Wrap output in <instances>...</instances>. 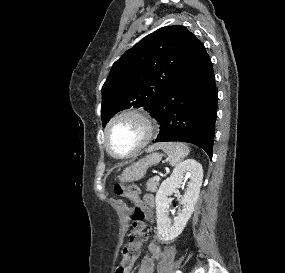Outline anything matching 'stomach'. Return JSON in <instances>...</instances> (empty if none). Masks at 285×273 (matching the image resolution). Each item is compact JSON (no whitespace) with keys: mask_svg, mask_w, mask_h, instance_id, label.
I'll return each mask as SVG.
<instances>
[{"mask_svg":"<svg viewBox=\"0 0 285 273\" xmlns=\"http://www.w3.org/2000/svg\"><path fill=\"white\" fill-rule=\"evenodd\" d=\"M160 161L161 155L158 153H152L142 158L123 171L119 177L120 182H134L142 179L145 176L147 169L152 165L158 164Z\"/></svg>","mask_w":285,"mask_h":273,"instance_id":"0dacf381","label":"stomach"}]
</instances>
